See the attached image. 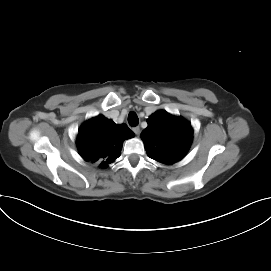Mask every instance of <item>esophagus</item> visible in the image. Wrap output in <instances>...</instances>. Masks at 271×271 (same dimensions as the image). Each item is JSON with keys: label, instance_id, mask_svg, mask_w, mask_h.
Returning a JSON list of instances; mask_svg holds the SVG:
<instances>
[{"label": "esophagus", "instance_id": "34e87169", "mask_svg": "<svg viewBox=\"0 0 271 271\" xmlns=\"http://www.w3.org/2000/svg\"><path fill=\"white\" fill-rule=\"evenodd\" d=\"M133 131L136 135H139L140 134V128L137 126V127H134L133 128Z\"/></svg>", "mask_w": 271, "mask_h": 271}]
</instances>
